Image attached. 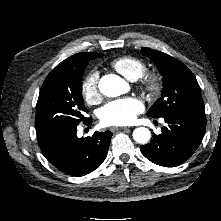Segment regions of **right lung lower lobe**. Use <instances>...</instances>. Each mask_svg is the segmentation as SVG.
Instances as JSON below:
<instances>
[{
	"mask_svg": "<svg viewBox=\"0 0 221 221\" xmlns=\"http://www.w3.org/2000/svg\"><path fill=\"white\" fill-rule=\"evenodd\" d=\"M91 118L84 123L90 124ZM77 126L61 127L37 135L42 153L57 169L72 176L86 175L106 158L112 132L78 138Z\"/></svg>",
	"mask_w": 221,
	"mask_h": 221,
	"instance_id": "98d812e1",
	"label": "right lung lower lobe"
}]
</instances>
